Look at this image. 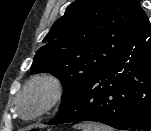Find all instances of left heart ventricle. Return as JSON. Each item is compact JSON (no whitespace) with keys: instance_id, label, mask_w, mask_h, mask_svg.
<instances>
[{"instance_id":"b2bd125f","label":"left heart ventricle","mask_w":151,"mask_h":131,"mask_svg":"<svg viewBox=\"0 0 151 131\" xmlns=\"http://www.w3.org/2000/svg\"><path fill=\"white\" fill-rule=\"evenodd\" d=\"M42 101V94L38 91H34L29 94L22 102V110L28 114L34 111Z\"/></svg>"}]
</instances>
